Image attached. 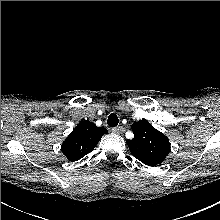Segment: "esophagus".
<instances>
[{"label":"esophagus","instance_id":"esophagus-1","mask_svg":"<svg viewBox=\"0 0 220 220\" xmlns=\"http://www.w3.org/2000/svg\"><path fill=\"white\" fill-rule=\"evenodd\" d=\"M112 131L117 134H122L124 133L125 128L123 126H117V127L112 128Z\"/></svg>","mask_w":220,"mask_h":220}]
</instances>
